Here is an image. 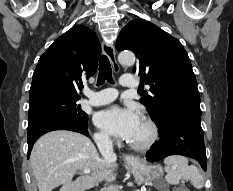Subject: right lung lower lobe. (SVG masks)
Returning a JSON list of instances; mask_svg holds the SVG:
<instances>
[{"label":"right lung lower lobe","mask_w":233,"mask_h":191,"mask_svg":"<svg viewBox=\"0 0 233 191\" xmlns=\"http://www.w3.org/2000/svg\"><path fill=\"white\" fill-rule=\"evenodd\" d=\"M53 130H70L88 136L87 124L80 123L64 116L42 114L28 123V159L36 140L41 135Z\"/></svg>","instance_id":"98d812e1"}]
</instances>
